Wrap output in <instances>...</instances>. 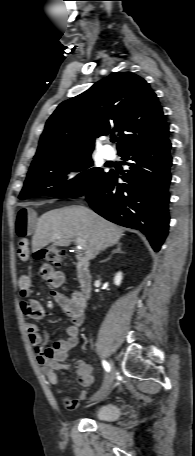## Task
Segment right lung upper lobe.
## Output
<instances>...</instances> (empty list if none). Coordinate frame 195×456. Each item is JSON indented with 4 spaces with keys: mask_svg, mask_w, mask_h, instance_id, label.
<instances>
[{
    "mask_svg": "<svg viewBox=\"0 0 195 456\" xmlns=\"http://www.w3.org/2000/svg\"><path fill=\"white\" fill-rule=\"evenodd\" d=\"M118 131V152L168 136L162 108L149 84L131 72L114 73L62 102L48 119L31 166L90 155L95 138Z\"/></svg>",
    "mask_w": 195,
    "mask_h": 456,
    "instance_id": "obj_1",
    "label": "right lung upper lobe"
}]
</instances>
